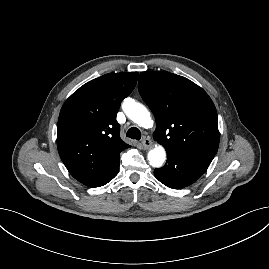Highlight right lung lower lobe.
Segmentation results:
<instances>
[{"instance_id":"98d812e1","label":"right lung lower lobe","mask_w":269,"mask_h":269,"mask_svg":"<svg viewBox=\"0 0 269 269\" xmlns=\"http://www.w3.org/2000/svg\"><path fill=\"white\" fill-rule=\"evenodd\" d=\"M119 171V165L112 171V173L106 178L104 179L100 184H98L96 187L98 186H103L106 183H108L109 181H111L118 173Z\"/></svg>"}]
</instances>
